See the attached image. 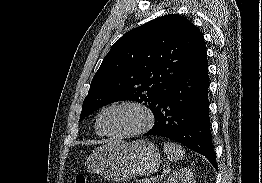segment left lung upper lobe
Wrapping results in <instances>:
<instances>
[{
  "instance_id": "obj_1",
  "label": "left lung upper lobe",
  "mask_w": 262,
  "mask_h": 183,
  "mask_svg": "<svg viewBox=\"0 0 262 183\" xmlns=\"http://www.w3.org/2000/svg\"><path fill=\"white\" fill-rule=\"evenodd\" d=\"M206 50L203 35L186 17L169 14L121 37L96 72L80 121L116 101L144 103L154 116L179 76Z\"/></svg>"
}]
</instances>
